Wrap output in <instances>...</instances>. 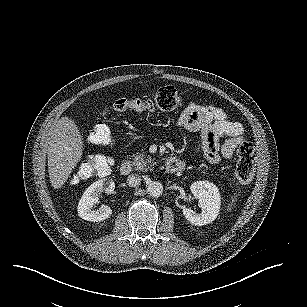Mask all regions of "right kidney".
<instances>
[{
    "label": "right kidney",
    "mask_w": 307,
    "mask_h": 307,
    "mask_svg": "<svg viewBox=\"0 0 307 307\" xmlns=\"http://www.w3.org/2000/svg\"><path fill=\"white\" fill-rule=\"evenodd\" d=\"M115 189V183L112 179H101L92 183L83 193L77 207L78 216L91 222H100L108 218L111 213V207L101 204L98 209L93 205L98 202L99 195L102 192L112 193Z\"/></svg>",
    "instance_id": "1"
}]
</instances>
